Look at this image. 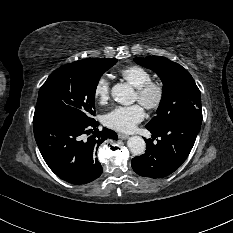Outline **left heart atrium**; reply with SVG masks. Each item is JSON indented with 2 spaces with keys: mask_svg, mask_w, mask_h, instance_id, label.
Wrapping results in <instances>:
<instances>
[{
  "mask_svg": "<svg viewBox=\"0 0 233 233\" xmlns=\"http://www.w3.org/2000/svg\"><path fill=\"white\" fill-rule=\"evenodd\" d=\"M145 117L141 105L119 106L104 116V123L109 128L121 132L132 131Z\"/></svg>",
  "mask_w": 233,
  "mask_h": 233,
  "instance_id": "39dd6f15",
  "label": "left heart atrium"
}]
</instances>
